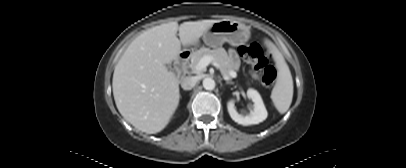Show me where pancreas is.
Masks as SVG:
<instances>
[{
  "label": "pancreas",
  "mask_w": 406,
  "mask_h": 168,
  "mask_svg": "<svg viewBox=\"0 0 406 168\" xmlns=\"http://www.w3.org/2000/svg\"><path fill=\"white\" fill-rule=\"evenodd\" d=\"M206 55L213 57V62L217 64V67L220 69L223 75L230 77V72L235 70L231 58L228 56L226 50L222 47L213 50L205 47L200 48L198 51L193 53L189 67L196 72L195 67L197 63L203 56Z\"/></svg>",
  "instance_id": "cf45deb5"
}]
</instances>
